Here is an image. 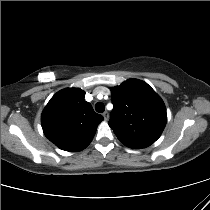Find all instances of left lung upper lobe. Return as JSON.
Masks as SVG:
<instances>
[{
	"label": "left lung upper lobe",
	"instance_id": "left-lung-upper-lobe-1",
	"mask_svg": "<svg viewBox=\"0 0 210 210\" xmlns=\"http://www.w3.org/2000/svg\"><path fill=\"white\" fill-rule=\"evenodd\" d=\"M111 92L114 109L109 126L117 138L133 149L153 144L167 122L162 99L147 83L136 79L125 81Z\"/></svg>",
	"mask_w": 210,
	"mask_h": 210
}]
</instances>
